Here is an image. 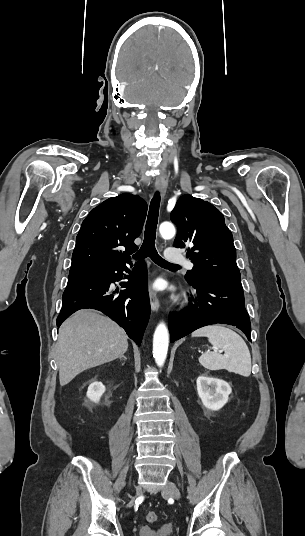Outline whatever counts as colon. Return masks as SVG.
I'll use <instances>...</instances> for the list:
<instances>
[{
	"label": "colon",
	"mask_w": 305,
	"mask_h": 536,
	"mask_svg": "<svg viewBox=\"0 0 305 536\" xmlns=\"http://www.w3.org/2000/svg\"><path fill=\"white\" fill-rule=\"evenodd\" d=\"M146 519L150 523H154L158 520V515L155 512H149L146 516Z\"/></svg>",
	"instance_id": "colon-1"
}]
</instances>
